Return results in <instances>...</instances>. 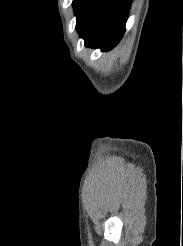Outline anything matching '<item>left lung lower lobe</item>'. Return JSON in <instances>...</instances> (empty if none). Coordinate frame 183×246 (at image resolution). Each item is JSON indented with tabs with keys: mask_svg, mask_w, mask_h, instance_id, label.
Instances as JSON below:
<instances>
[{
	"mask_svg": "<svg viewBox=\"0 0 183 246\" xmlns=\"http://www.w3.org/2000/svg\"><path fill=\"white\" fill-rule=\"evenodd\" d=\"M133 0H73L76 30L85 46L113 49L123 37Z\"/></svg>",
	"mask_w": 183,
	"mask_h": 246,
	"instance_id": "0a47b994",
	"label": "left lung lower lobe"
}]
</instances>
